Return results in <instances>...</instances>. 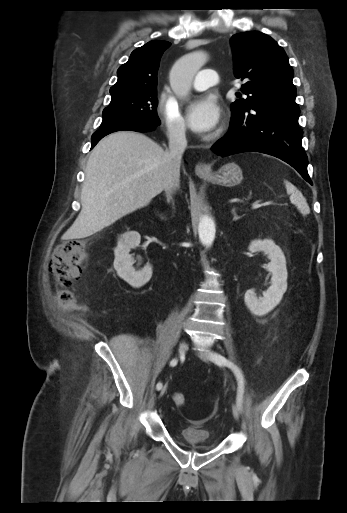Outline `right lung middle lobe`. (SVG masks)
Returning <instances> with one entry per match:
<instances>
[{"instance_id":"dd1d6c3e","label":"right lung middle lobe","mask_w":347,"mask_h":513,"mask_svg":"<svg viewBox=\"0 0 347 513\" xmlns=\"http://www.w3.org/2000/svg\"><path fill=\"white\" fill-rule=\"evenodd\" d=\"M112 99L103 111L100 127L123 122H136L149 126H159L157 116V89L129 91L111 94Z\"/></svg>"}]
</instances>
